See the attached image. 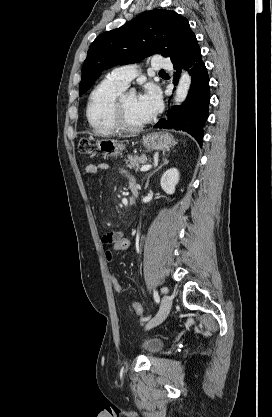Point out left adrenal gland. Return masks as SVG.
I'll return each instance as SVG.
<instances>
[{
    "instance_id": "1",
    "label": "left adrenal gland",
    "mask_w": 272,
    "mask_h": 417,
    "mask_svg": "<svg viewBox=\"0 0 272 417\" xmlns=\"http://www.w3.org/2000/svg\"><path fill=\"white\" fill-rule=\"evenodd\" d=\"M168 160L166 159V158H164L163 159V164H161L159 167H157L152 173H150L148 176H147V181H146V185H145V189L148 187V185H149V179H150V177L154 174V173H156L159 169H161L164 165H167L168 164Z\"/></svg>"
}]
</instances>
